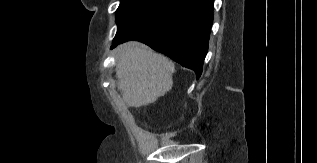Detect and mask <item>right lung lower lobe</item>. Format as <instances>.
Returning a JSON list of instances; mask_svg holds the SVG:
<instances>
[{
  "label": "right lung lower lobe",
  "instance_id": "obj_1",
  "mask_svg": "<svg viewBox=\"0 0 317 163\" xmlns=\"http://www.w3.org/2000/svg\"><path fill=\"white\" fill-rule=\"evenodd\" d=\"M214 0H175L152 22L113 41V47L128 40L143 42L195 71L197 78L208 50Z\"/></svg>",
  "mask_w": 317,
  "mask_h": 163
}]
</instances>
